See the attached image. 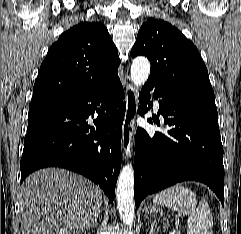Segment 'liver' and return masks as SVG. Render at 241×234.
Returning a JSON list of instances; mask_svg holds the SVG:
<instances>
[{"mask_svg":"<svg viewBox=\"0 0 241 234\" xmlns=\"http://www.w3.org/2000/svg\"><path fill=\"white\" fill-rule=\"evenodd\" d=\"M103 193L88 179L59 168L29 175L20 188L22 234H81L92 226Z\"/></svg>","mask_w":241,"mask_h":234,"instance_id":"6515ba94","label":"liver"}]
</instances>
